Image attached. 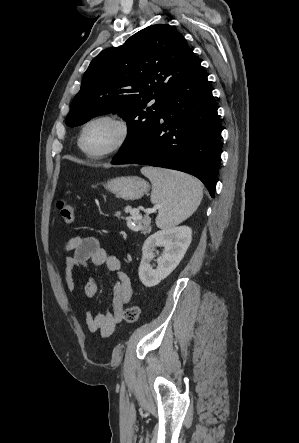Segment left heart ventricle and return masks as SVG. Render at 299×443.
<instances>
[{
	"label": "left heart ventricle",
	"mask_w": 299,
	"mask_h": 443,
	"mask_svg": "<svg viewBox=\"0 0 299 443\" xmlns=\"http://www.w3.org/2000/svg\"><path fill=\"white\" fill-rule=\"evenodd\" d=\"M119 130L109 121H99L92 124L86 131L84 145L93 153H100L110 148L118 139Z\"/></svg>",
	"instance_id": "1"
}]
</instances>
